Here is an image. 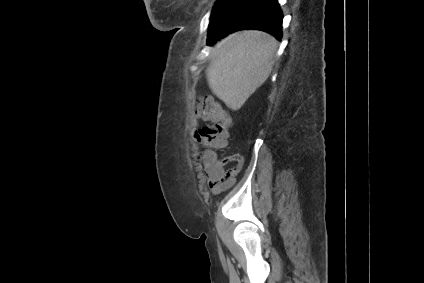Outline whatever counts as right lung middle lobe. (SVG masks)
<instances>
[{
	"instance_id": "obj_1",
	"label": "right lung middle lobe",
	"mask_w": 424,
	"mask_h": 283,
	"mask_svg": "<svg viewBox=\"0 0 424 283\" xmlns=\"http://www.w3.org/2000/svg\"><path fill=\"white\" fill-rule=\"evenodd\" d=\"M228 0H218L215 7L213 8V12L211 15V21L216 17V15L225 7Z\"/></svg>"
}]
</instances>
